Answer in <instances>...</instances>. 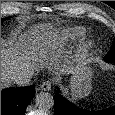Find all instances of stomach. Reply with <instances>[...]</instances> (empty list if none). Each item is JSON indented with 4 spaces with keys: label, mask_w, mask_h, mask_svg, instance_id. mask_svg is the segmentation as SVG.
Returning a JSON list of instances; mask_svg holds the SVG:
<instances>
[{
    "label": "stomach",
    "mask_w": 115,
    "mask_h": 115,
    "mask_svg": "<svg viewBox=\"0 0 115 115\" xmlns=\"http://www.w3.org/2000/svg\"><path fill=\"white\" fill-rule=\"evenodd\" d=\"M92 69L83 64L77 68L70 79V94L78 100L87 97L92 90Z\"/></svg>",
    "instance_id": "obj_1"
}]
</instances>
